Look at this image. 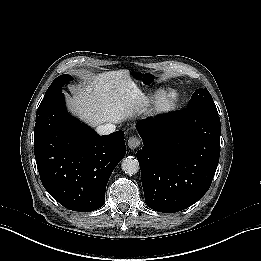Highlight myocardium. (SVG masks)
I'll return each mask as SVG.
<instances>
[{"label": "myocardium", "instance_id": "myocardium-1", "mask_svg": "<svg viewBox=\"0 0 261 261\" xmlns=\"http://www.w3.org/2000/svg\"><path fill=\"white\" fill-rule=\"evenodd\" d=\"M177 104V99L172 95L169 94L160 98L154 108L152 109V115L154 116H162L171 112Z\"/></svg>", "mask_w": 261, "mask_h": 261}]
</instances>
